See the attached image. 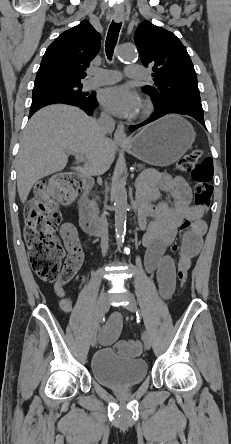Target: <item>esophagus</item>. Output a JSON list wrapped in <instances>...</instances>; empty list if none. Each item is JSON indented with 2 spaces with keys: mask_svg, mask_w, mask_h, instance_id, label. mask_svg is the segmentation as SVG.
<instances>
[{
  "mask_svg": "<svg viewBox=\"0 0 231 444\" xmlns=\"http://www.w3.org/2000/svg\"><path fill=\"white\" fill-rule=\"evenodd\" d=\"M114 20L117 23H120L124 19V13L123 11H115L113 15ZM114 141L117 143H126L128 141L126 132H125V126L122 123H119L117 125V129L114 133Z\"/></svg>",
  "mask_w": 231,
  "mask_h": 444,
  "instance_id": "34e87169",
  "label": "esophagus"
}]
</instances>
